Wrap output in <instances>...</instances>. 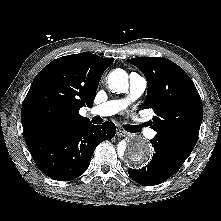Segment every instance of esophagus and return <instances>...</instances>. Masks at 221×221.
Segmentation results:
<instances>
[{"label": "esophagus", "mask_w": 221, "mask_h": 221, "mask_svg": "<svg viewBox=\"0 0 221 221\" xmlns=\"http://www.w3.org/2000/svg\"><path fill=\"white\" fill-rule=\"evenodd\" d=\"M116 135H117L118 137H125V136L127 135V133H126L124 130H122V129H120V128H117V129H116Z\"/></svg>", "instance_id": "34e87169"}]
</instances>
